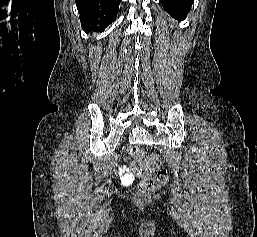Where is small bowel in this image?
<instances>
[{"label":"small bowel","instance_id":"small-bowel-1","mask_svg":"<svg viewBox=\"0 0 257 237\" xmlns=\"http://www.w3.org/2000/svg\"><path fill=\"white\" fill-rule=\"evenodd\" d=\"M119 174L122 177V180L124 182L130 183L133 181V175L129 172L128 168L126 167H120L119 168Z\"/></svg>","mask_w":257,"mask_h":237}]
</instances>
